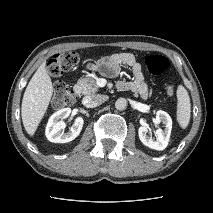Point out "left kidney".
<instances>
[{
  "label": "left kidney",
  "instance_id": "obj_1",
  "mask_svg": "<svg viewBox=\"0 0 213 213\" xmlns=\"http://www.w3.org/2000/svg\"><path fill=\"white\" fill-rule=\"evenodd\" d=\"M156 121L158 123L162 122L165 125L164 131L161 129L156 130L157 139L154 140L147 135L148 129L145 126H140L138 129V135L140 141L147 147L154 150H164L169 142L171 129H172V119L168 113L159 110L156 113Z\"/></svg>",
  "mask_w": 213,
  "mask_h": 213
}]
</instances>
